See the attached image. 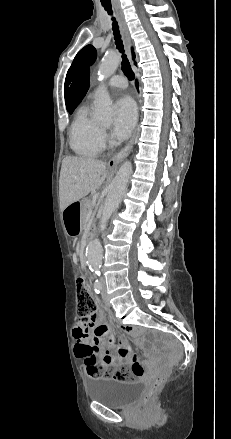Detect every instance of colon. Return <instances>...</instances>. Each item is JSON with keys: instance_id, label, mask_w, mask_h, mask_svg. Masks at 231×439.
Here are the masks:
<instances>
[{"instance_id": "obj_1", "label": "colon", "mask_w": 231, "mask_h": 439, "mask_svg": "<svg viewBox=\"0 0 231 439\" xmlns=\"http://www.w3.org/2000/svg\"><path fill=\"white\" fill-rule=\"evenodd\" d=\"M76 287L78 293V319L82 324H89L96 310V302L94 297L91 295L87 288L86 280L83 276L79 275L76 279ZM122 331L125 333H131L133 328L130 326L122 327ZM86 367L88 373L93 377L103 376L106 374L105 363H98L96 360L88 359L86 361ZM142 373L141 366L139 364H134L131 367H119L116 369L112 376L116 380L126 381L132 378L133 376H138ZM166 375L162 374L158 377L149 381L146 390L144 391L141 399L143 403L149 402L156 391L165 381Z\"/></svg>"}]
</instances>
